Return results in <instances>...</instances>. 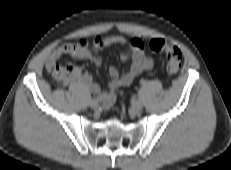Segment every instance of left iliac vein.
<instances>
[{"instance_id":"1","label":"left iliac vein","mask_w":231,"mask_h":170,"mask_svg":"<svg viewBox=\"0 0 231 170\" xmlns=\"http://www.w3.org/2000/svg\"><path fill=\"white\" fill-rule=\"evenodd\" d=\"M132 108L134 111L139 112L143 109V102L140 100H137L133 103Z\"/></svg>"}]
</instances>
